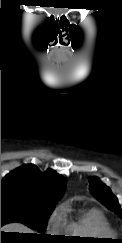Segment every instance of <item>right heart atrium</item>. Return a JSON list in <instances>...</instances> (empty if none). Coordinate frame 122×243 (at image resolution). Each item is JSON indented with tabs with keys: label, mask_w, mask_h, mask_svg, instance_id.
<instances>
[{
	"label": "right heart atrium",
	"mask_w": 122,
	"mask_h": 243,
	"mask_svg": "<svg viewBox=\"0 0 122 243\" xmlns=\"http://www.w3.org/2000/svg\"><path fill=\"white\" fill-rule=\"evenodd\" d=\"M65 220H64V212L62 208H57L54 210V212L51 214L48 226L49 229L53 232H59L64 227Z\"/></svg>",
	"instance_id": "right-heart-atrium-1"
}]
</instances>
